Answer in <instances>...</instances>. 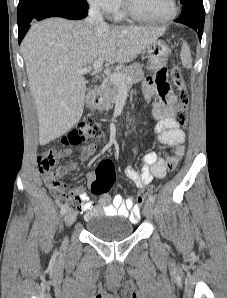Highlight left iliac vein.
I'll list each match as a JSON object with an SVG mask.
<instances>
[{
    "instance_id": "4c4485c4",
    "label": "left iliac vein",
    "mask_w": 227,
    "mask_h": 298,
    "mask_svg": "<svg viewBox=\"0 0 227 298\" xmlns=\"http://www.w3.org/2000/svg\"><path fill=\"white\" fill-rule=\"evenodd\" d=\"M143 213H144V215H145L147 218H151V217L153 216V213H154V207H153V203H152V202L147 201V202L145 203Z\"/></svg>"
}]
</instances>
